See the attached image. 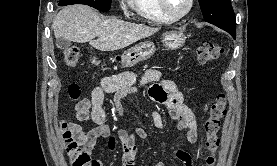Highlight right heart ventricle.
<instances>
[{"mask_svg":"<svg viewBox=\"0 0 277 166\" xmlns=\"http://www.w3.org/2000/svg\"><path fill=\"white\" fill-rule=\"evenodd\" d=\"M133 10L141 18L153 24H165L172 22L160 10L157 0H131Z\"/></svg>","mask_w":277,"mask_h":166,"instance_id":"obj_1","label":"right heart ventricle"}]
</instances>
